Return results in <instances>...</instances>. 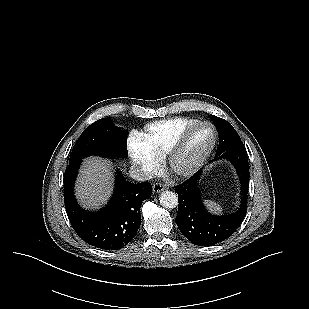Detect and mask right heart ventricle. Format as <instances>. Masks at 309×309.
Listing matches in <instances>:
<instances>
[{"label":"right heart ventricle","mask_w":309,"mask_h":309,"mask_svg":"<svg viewBox=\"0 0 309 309\" xmlns=\"http://www.w3.org/2000/svg\"><path fill=\"white\" fill-rule=\"evenodd\" d=\"M197 122L193 118H171L148 124L138 141L159 160L164 158L183 132Z\"/></svg>","instance_id":"obj_1"}]
</instances>
